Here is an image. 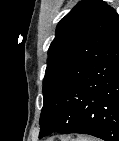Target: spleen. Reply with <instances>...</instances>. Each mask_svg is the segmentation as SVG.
I'll return each instance as SVG.
<instances>
[{
  "label": "spleen",
  "instance_id": "1",
  "mask_svg": "<svg viewBox=\"0 0 119 141\" xmlns=\"http://www.w3.org/2000/svg\"><path fill=\"white\" fill-rule=\"evenodd\" d=\"M76 141H92L91 139H86V138H81V139H77Z\"/></svg>",
  "mask_w": 119,
  "mask_h": 141
}]
</instances>
